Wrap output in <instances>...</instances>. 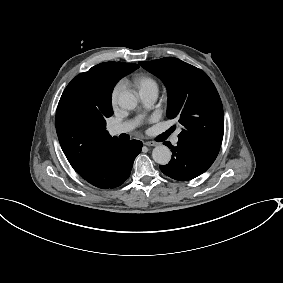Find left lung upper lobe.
Masks as SVG:
<instances>
[{"label": "left lung upper lobe", "instance_id": "obj_1", "mask_svg": "<svg viewBox=\"0 0 283 283\" xmlns=\"http://www.w3.org/2000/svg\"><path fill=\"white\" fill-rule=\"evenodd\" d=\"M167 87V117L183 126L179 139L220 149L224 114L220 96L208 75L174 57L139 62Z\"/></svg>", "mask_w": 283, "mask_h": 283}]
</instances>
